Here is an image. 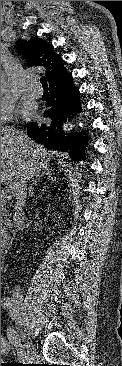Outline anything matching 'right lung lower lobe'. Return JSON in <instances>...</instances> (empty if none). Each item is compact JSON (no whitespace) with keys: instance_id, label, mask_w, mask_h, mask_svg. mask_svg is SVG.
Wrapping results in <instances>:
<instances>
[{"instance_id":"1","label":"right lung lower lobe","mask_w":122,"mask_h":366,"mask_svg":"<svg viewBox=\"0 0 122 366\" xmlns=\"http://www.w3.org/2000/svg\"><path fill=\"white\" fill-rule=\"evenodd\" d=\"M50 99L47 101L45 123H29L27 134L41 142L48 150L68 152L75 160H84L88 139L85 132L65 136L63 124L70 119V114L80 111V93L75 89L72 75L68 73L65 80L49 85Z\"/></svg>"}]
</instances>
